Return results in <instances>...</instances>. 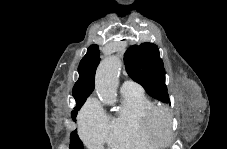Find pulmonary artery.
<instances>
[{"mask_svg":"<svg viewBox=\"0 0 227 149\" xmlns=\"http://www.w3.org/2000/svg\"><path fill=\"white\" fill-rule=\"evenodd\" d=\"M142 90L141 87L130 80L123 81L121 85V92H131V91H139Z\"/></svg>","mask_w":227,"mask_h":149,"instance_id":"pulmonary-artery-1","label":"pulmonary artery"}]
</instances>
